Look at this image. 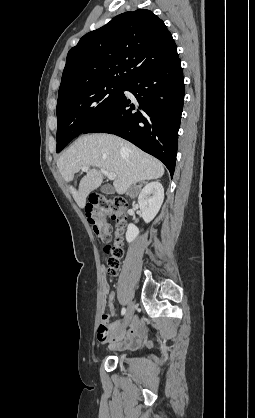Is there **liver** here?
Instances as JSON below:
<instances>
[{
    "label": "liver",
    "mask_w": 255,
    "mask_h": 418,
    "mask_svg": "<svg viewBox=\"0 0 255 418\" xmlns=\"http://www.w3.org/2000/svg\"><path fill=\"white\" fill-rule=\"evenodd\" d=\"M57 166L66 182L84 166L93 167L81 179L76 190L70 191L77 205L84 208L87 196L103 182L98 169L114 173V188L124 194L130 186L145 180L158 179L164 174L163 164L132 143L111 134H90L78 138L58 159Z\"/></svg>",
    "instance_id": "6515ba94"
}]
</instances>
